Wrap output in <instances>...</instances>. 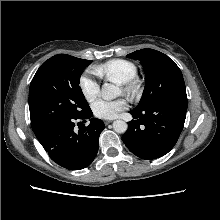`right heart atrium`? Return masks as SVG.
Listing matches in <instances>:
<instances>
[{"instance_id": "1", "label": "right heart atrium", "mask_w": 220, "mask_h": 220, "mask_svg": "<svg viewBox=\"0 0 220 220\" xmlns=\"http://www.w3.org/2000/svg\"><path fill=\"white\" fill-rule=\"evenodd\" d=\"M92 74H95L94 70L83 74L79 80V86L82 95L88 102H92L99 95L100 92V85L92 77Z\"/></svg>"}]
</instances>
